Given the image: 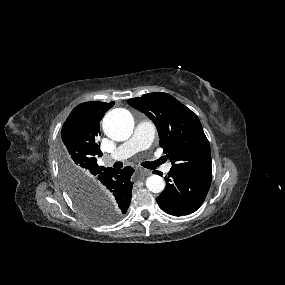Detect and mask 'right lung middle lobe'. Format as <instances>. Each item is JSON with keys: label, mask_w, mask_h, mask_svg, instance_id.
I'll return each instance as SVG.
<instances>
[{"label": "right lung middle lobe", "mask_w": 285, "mask_h": 285, "mask_svg": "<svg viewBox=\"0 0 285 285\" xmlns=\"http://www.w3.org/2000/svg\"><path fill=\"white\" fill-rule=\"evenodd\" d=\"M59 161L64 184L83 216L97 224H111L121 218L115 208L105 203L97 192L79 180L62 151L59 153Z\"/></svg>", "instance_id": "obj_1"}]
</instances>
